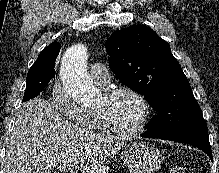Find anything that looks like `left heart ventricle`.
I'll use <instances>...</instances> for the list:
<instances>
[{"mask_svg": "<svg viewBox=\"0 0 219 173\" xmlns=\"http://www.w3.org/2000/svg\"><path fill=\"white\" fill-rule=\"evenodd\" d=\"M102 108L106 111L111 122L118 128L130 130L138 125L142 107L138 100L130 94L122 93L110 100L101 95L96 109Z\"/></svg>", "mask_w": 219, "mask_h": 173, "instance_id": "obj_1", "label": "left heart ventricle"}]
</instances>
